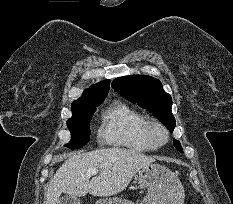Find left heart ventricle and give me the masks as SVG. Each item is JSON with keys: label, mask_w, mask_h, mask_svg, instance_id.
Instances as JSON below:
<instances>
[{"label": "left heart ventricle", "mask_w": 233, "mask_h": 204, "mask_svg": "<svg viewBox=\"0 0 233 204\" xmlns=\"http://www.w3.org/2000/svg\"><path fill=\"white\" fill-rule=\"evenodd\" d=\"M154 132H155L156 137H157L158 139H161V134H160V132H159L158 130H155Z\"/></svg>", "instance_id": "1"}]
</instances>
